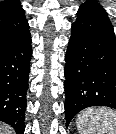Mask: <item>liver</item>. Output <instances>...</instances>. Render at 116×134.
<instances>
[{
  "instance_id": "liver-1",
  "label": "liver",
  "mask_w": 116,
  "mask_h": 134,
  "mask_svg": "<svg viewBox=\"0 0 116 134\" xmlns=\"http://www.w3.org/2000/svg\"><path fill=\"white\" fill-rule=\"evenodd\" d=\"M0 134H11V130L0 123Z\"/></svg>"
}]
</instances>
